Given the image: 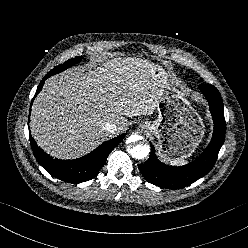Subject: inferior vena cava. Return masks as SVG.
I'll list each match as a JSON object with an SVG mask.
<instances>
[{
	"mask_svg": "<svg viewBox=\"0 0 248 248\" xmlns=\"http://www.w3.org/2000/svg\"><path fill=\"white\" fill-rule=\"evenodd\" d=\"M103 129L108 133H115L118 127L115 123L107 122L104 124Z\"/></svg>",
	"mask_w": 248,
	"mask_h": 248,
	"instance_id": "602c4592",
	"label": "inferior vena cava"
}]
</instances>
